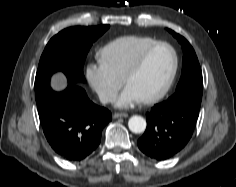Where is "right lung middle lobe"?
<instances>
[{
  "mask_svg": "<svg viewBox=\"0 0 236 187\" xmlns=\"http://www.w3.org/2000/svg\"><path fill=\"white\" fill-rule=\"evenodd\" d=\"M108 28L109 25L70 27L52 37L43 51L36 73V99L50 88V78L55 72H63L69 85L84 82L83 65L87 53Z\"/></svg>",
  "mask_w": 236,
  "mask_h": 187,
  "instance_id": "1",
  "label": "right lung middle lobe"
}]
</instances>
